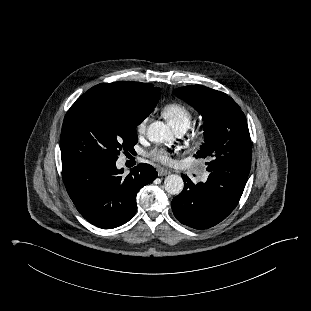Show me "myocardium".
Instances as JSON below:
<instances>
[{
  "instance_id": "obj_1",
  "label": "myocardium",
  "mask_w": 311,
  "mask_h": 311,
  "mask_svg": "<svg viewBox=\"0 0 311 311\" xmlns=\"http://www.w3.org/2000/svg\"><path fill=\"white\" fill-rule=\"evenodd\" d=\"M200 134H201L200 132H197L195 136L198 137L200 136Z\"/></svg>"
}]
</instances>
